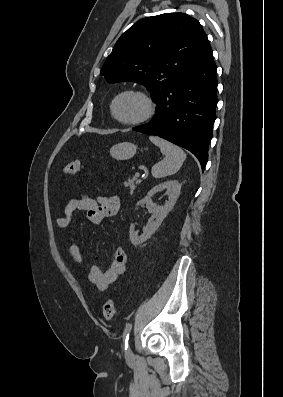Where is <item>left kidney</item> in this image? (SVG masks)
<instances>
[{"label": "left kidney", "mask_w": 283, "mask_h": 397, "mask_svg": "<svg viewBox=\"0 0 283 397\" xmlns=\"http://www.w3.org/2000/svg\"><path fill=\"white\" fill-rule=\"evenodd\" d=\"M162 190H166L169 194L168 201L164 206H158L152 202L151 197ZM181 191V184L177 180H169L154 186L137 205L145 204L148 211L152 214L153 220L149 221L148 224L143 228V233L138 236V233L134 230V224L130 225V241L134 246H138L145 242L151 237L152 234L159 228L162 221L168 215L175 205Z\"/></svg>", "instance_id": "1"}]
</instances>
